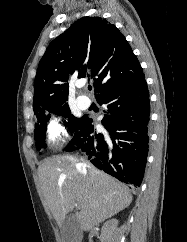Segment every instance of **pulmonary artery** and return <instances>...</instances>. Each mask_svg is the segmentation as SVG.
Here are the masks:
<instances>
[{"label": "pulmonary artery", "mask_w": 187, "mask_h": 242, "mask_svg": "<svg viewBox=\"0 0 187 242\" xmlns=\"http://www.w3.org/2000/svg\"><path fill=\"white\" fill-rule=\"evenodd\" d=\"M77 103L78 106L82 109H87L90 106V100L86 96H79Z\"/></svg>", "instance_id": "1"}]
</instances>
